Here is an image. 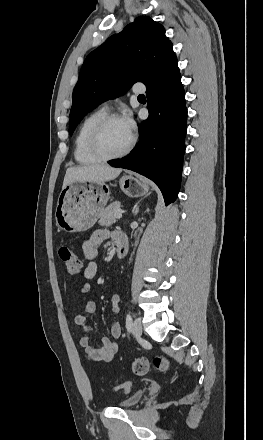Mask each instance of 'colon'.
Returning a JSON list of instances; mask_svg holds the SVG:
<instances>
[{
  "label": "colon",
  "mask_w": 263,
  "mask_h": 440,
  "mask_svg": "<svg viewBox=\"0 0 263 440\" xmlns=\"http://www.w3.org/2000/svg\"><path fill=\"white\" fill-rule=\"evenodd\" d=\"M59 257L64 264L65 269L71 274H80L83 271V264L77 257L74 250L67 245H63L58 250ZM154 366L159 370H167L169 362L164 356H155L152 360L145 357H140L135 360L133 364V370L136 374L142 375L146 373L151 366ZM132 383L130 381L123 382L116 387V390L124 393L130 392Z\"/></svg>",
  "instance_id": "5ec220e1"
}]
</instances>
